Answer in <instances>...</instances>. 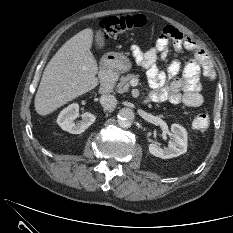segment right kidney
I'll return each mask as SVG.
<instances>
[{
  "mask_svg": "<svg viewBox=\"0 0 233 233\" xmlns=\"http://www.w3.org/2000/svg\"><path fill=\"white\" fill-rule=\"evenodd\" d=\"M77 117H79V105L73 103L60 112L57 118V123L64 131L72 134H80L93 124L96 119L93 114L85 112L81 115L82 120L75 123L74 120Z\"/></svg>",
  "mask_w": 233,
  "mask_h": 233,
  "instance_id": "right-kidney-1",
  "label": "right kidney"
}]
</instances>
